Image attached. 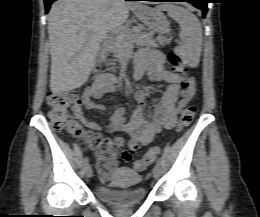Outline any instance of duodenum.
Listing matches in <instances>:
<instances>
[{"label": "duodenum", "mask_w": 260, "mask_h": 217, "mask_svg": "<svg viewBox=\"0 0 260 217\" xmlns=\"http://www.w3.org/2000/svg\"><path fill=\"white\" fill-rule=\"evenodd\" d=\"M112 84V78L110 76H101L98 81L100 87H108Z\"/></svg>", "instance_id": "1"}]
</instances>
